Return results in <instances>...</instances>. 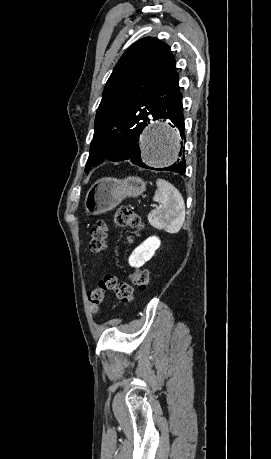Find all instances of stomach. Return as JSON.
Wrapping results in <instances>:
<instances>
[{
	"instance_id": "obj_1",
	"label": "stomach",
	"mask_w": 271,
	"mask_h": 459,
	"mask_svg": "<svg viewBox=\"0 0 271 459\" xmlns=\"http://www.w3.org/2000/svg\"><path fill=\"white\" fill-rule=\"evenodd\" d=\"M143 192H146V182L141 178H100L89 188L85 196V210L90 216H98L114 210L124 198H137Z\"/></svg>"
}]
</instances>
